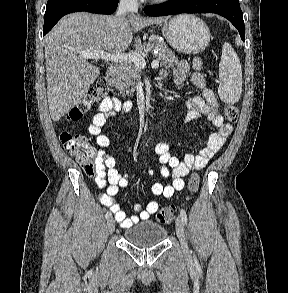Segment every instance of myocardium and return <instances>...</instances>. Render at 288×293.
Segmentation results:
<instances>
[{
	"instance_id": "myocardium-1",
	"label": "myocardium",
	"mask_w": 288,
	"mask_h": 293,
	"mask_svg": "<svg viewBox=\"0 0 288 293\" xmlns=\"http://www.w3.org/2000/svg\"><path fill=\"white\" fill-rule=\"evenodd\" d=\"M151 1H153V2H155V3H163V2H166V1H168V0H151Z\"/></svg>"
}]
</instances>
